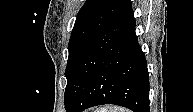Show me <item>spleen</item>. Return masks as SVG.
<instances>
[{"label":"spleen","mask_w":193,"mask_h":112,"mask_svg":"<svg viewBox=\"0 0 193 112\" xmlns=\"http://www.w3.org/2000/svg\"><path fill=\"white\" fill-rule=\"evenodd\" d=\"M98 112H125L122 108H115V109H108V108H101Z\"/></svg>","instance_id":"1"}]
</instances>
